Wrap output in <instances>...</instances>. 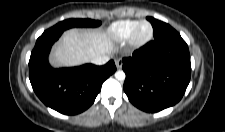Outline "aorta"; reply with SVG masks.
<instances>
[{"instance_id": "aorta-1", "label": "aorta", "mask_w": 225, "mask_h": 132, "mask_svg": "<svg viewBox=\"0 0 225 132\" xmlns=\"http://www.w3.org/2000/svg\"><path fill=\"white\" fill-rule=\"evenodd\" d=\"M125 77H126L125 72L122 70H119L115 73V78L119 81L125 80Z\"/></svg>"}]
</instances>
